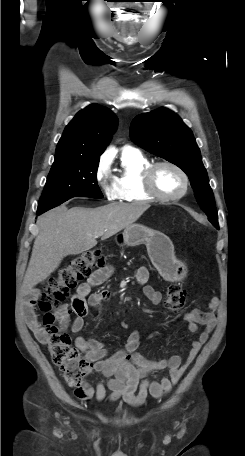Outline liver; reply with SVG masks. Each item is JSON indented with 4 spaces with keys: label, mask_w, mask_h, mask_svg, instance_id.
<instances>
[{
    "label": "liver",
    "mask_w": 245,
    "mask_h": 456,
    "mask_svg": "<svg viewBox=\"0 0 245 456\" xmlns=\"http://www.w3.org/2000/svg\"><path fill=\"white\" fill-rule=\"evenodd\" d=\"M150 205L144 202L111 203L94 209L66 206L38 218L39 233L22 284V294L45 280L67 255H77L131 226Z\"/></svg>",
    "instance_id": "liver-1"
}]
</instances>
